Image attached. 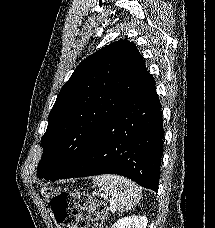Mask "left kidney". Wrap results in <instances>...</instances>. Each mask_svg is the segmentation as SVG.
<instances>
[{
	"label": "left kidney",
	"instance_id": "obj_1",
	"mask_svg": "<svg viewBox=\"0 0 215 228\" xmlns=\"http://www.w3.org/2000/svg\"><path fill=\"white\" fill-rule=\"evenodd\" d=\"M146 216H127L113 224L112 228H147Z\"/></svg>",
	"mask_w": 215,
	"mask_h": 228
}]
</instances>
